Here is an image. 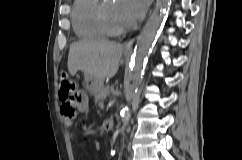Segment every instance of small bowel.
<instances>
[{
  "label": "small bowel",
  "mask_w": 242,
  "mask_h": 160,
  "mask_svg": "<svg viewBox=\"0 0 242 160\" xmlns=\"http://www.w3.org/2000/svg\"><path fill=\"white\" fill-rule=\"evenodd\" d=\"M65 105H66V104H63V105H62L61 110H62V108H63ZM86 109H87V102L85 101L84 103H82V104L79 106V111L83 112V111H85ZM64 117H65V116H64ZM65 119H66V122H67L68 124L71 123V118H67V117H65Z\"/></svg>",
  "instance_id": "obj_1"
}]
</instances>
